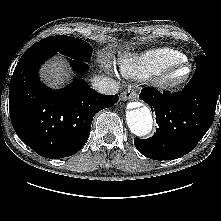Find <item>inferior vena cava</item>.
<instances>
[{
    "instance_id": "inferior-vena-cava-1",
    "label": "inferior vena cava",
    "mask_w": 221,
    "mask_h": 221,
    "mask_svg": "<svg viewBox=\"0 0 221 221\" xmlns=\"http://www.w3.org/2000/svg\"><path fill=\"white\" fill-rule=\"evenodd\" d=\"M93 89L102 94H116L118 92V83L106 76H95L91 80Z\"/></svg>"
}]
</instances>
